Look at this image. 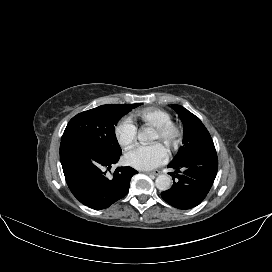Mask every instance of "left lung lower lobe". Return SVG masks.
Instances as JSON below:
<instances>
[{
    "mask_svg": "<svg viewBox=\"0 0 272 272\" xmlns=\"http://www.w3.org/2000/svg\"><path fill=\"white\" fill-rule=\"evenodd\" d=\"M178 182L161 193L162 198L178 209H191L199 205L208 194L218 170L215 147L193 153L181 161L171 162ZM175 174L172 176L175 178Z\"/></svg>",
    "mask_w": 272,
    "mask_h": 272,
    "instance_id": "1",
    "label": "left lung lower lobe"
}]
</instances>
